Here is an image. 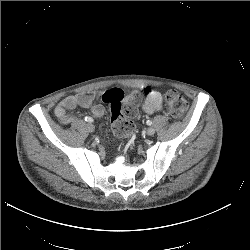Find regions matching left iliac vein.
Segmentation results:
<instances>
[{
  "instance_id": "left-iliac-vein-1",
  "label": "left iliac vein",
  "mask_w": 250,
  "mask_h": 250,
  "mask_svg": "<svg viewBox=\"0 0 250 250\" xmlns=\"http://www.w3.org/2000/svg\"><path fill=\"white\" fill-rule=\"evenodd\" d=\"M148 136H152L155 134V129L153 127H149L146 131Z\"/></svg>"
}]
</instances>
